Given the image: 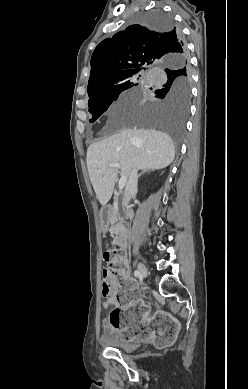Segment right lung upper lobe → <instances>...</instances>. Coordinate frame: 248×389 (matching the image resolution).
<instances>
[{
	"label": "right lung upper lobe",
	"instance_id": "right-lung-upper-lobe-1",
	"mask_svg": "<svg viewBox=\"0 0 248 389\" xmlns=\"http://www.w3.org/2000/svg\"><path fill=\"white\" fill-rule=\"evenodd\" d=\"M179 34L175 28L162 31L137 24L100 42L90 62L88 95L120 76L156 68L173 58L188 62L184 42L178 46Z\"/></svg>",
	"mask_w": 248,
	"mask_h": 389
}]
</instances>
